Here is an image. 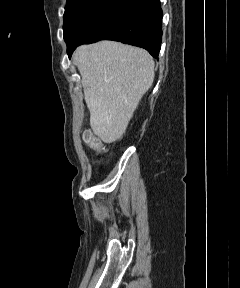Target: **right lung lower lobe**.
<instances>
[{"label":"right lung lower lobe","mask_w":240,"mask_h":288,"mask_svg":"<svg viewBox=\"0 0 240 288\" xmlns=\"http://www.w3.org/2000/svg\"><path fill=\"white\" fill-rule=\"evenodd\" d=\"M103 39L142 47L158 57L162 41L160 0H117L78 44L67 47V53L70 57L77 46Z\"/></svg>","instance_id":"1"}]
</instances>
